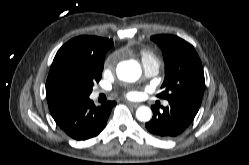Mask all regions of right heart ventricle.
<instances>
[{
  "label": "right heart ventricle",
  "mask_w": 249,
  "mask_h": 165,
  "mask_svg": "<svg viewBox=\"0 0 249 165\" xmlns=\"http://www.w3.org/2000/svg\"><path fill=\"white\" fill-rule=\"evenodd\" d=\"M139 56L141 57L142 61H153L158 64V60L155 55L147 49H140L138 51Z\"/></svg>",
  "instance_id": "obj_1"
}]
</instances>
